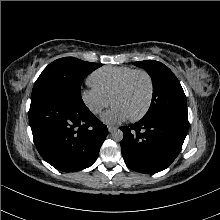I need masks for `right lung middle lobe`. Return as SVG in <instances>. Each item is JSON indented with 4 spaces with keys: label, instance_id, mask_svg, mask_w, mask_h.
<instances>
[{
    "label": "right lung middle lobe",
    "instance_id": "right-lung-middle-lobe-1",
    "mask_svg": "<svg viewBox=\"0 0 220 220\" xmlns=\"http://www.w3.org/2000/svg\"><path fill=\"white\" fill-rule=\"evenodd\" d=\"M100 66V64L73 57L55 60L38 77L32 91V97L55 95L77 104H84L80 94L81 84L92 71Z\"/></svg>",
    "mask_w": 220,
    "mask_h": 220
}]
</instances>
